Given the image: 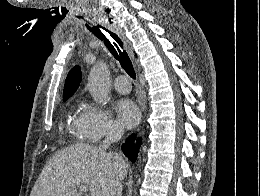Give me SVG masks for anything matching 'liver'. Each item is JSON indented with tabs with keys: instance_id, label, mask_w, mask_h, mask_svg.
Returning a JSON list of instances; mask_svg holds the SVG:
<instances>
[{
	"instance_id": "obj_1",
	"label": "liver",
	"mask_w": 260,
	"mask_h": 196,
	"mask_svg": "<svg viewBox=\"0 0 260 196\" xmlns=\"http://www.w3.org/2000/svg\"><path fill=\"white\" fill-rule=\"evenodd\" d=\"M116 156L90 144L59 150L46 162L30 196H78L77 186L82 184L91 196H110L117 182L127 176V164Z\"/></svg>"
}]
</instances>
